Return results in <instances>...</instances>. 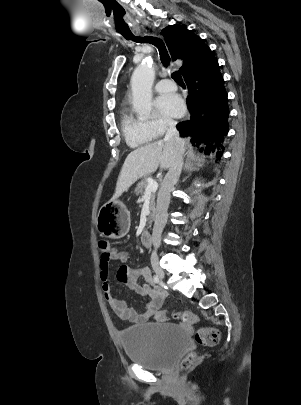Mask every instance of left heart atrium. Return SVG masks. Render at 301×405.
Returning <instances> with one entry per match:
<instances>
[{
    "label": "left heart atrium",
    "mask_w": 301,
    "mask_h": 405,
    "mask_svg": "<svg viewBox=\"0 0 301 405\" xmlns=\"http://www.w3.org/2000/svg\"><path fill=\"white\" fill-rule=\"evenodd\" d=\"M155 105L162 114L169 117L178 118L185 112L184 102L177 94L160 95L156 99Z\"/></svg>",
    "instance_id": "left-heart-atrium-1"
}]
</instances>
